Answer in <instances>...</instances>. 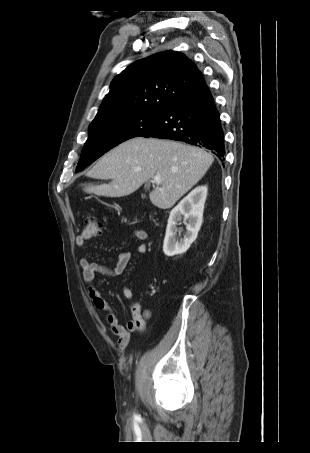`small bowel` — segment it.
<instances>
[{"instance_id":"small-bowel-1","label":"small bowel","mask_w":310,"mask_h":453,"mask_svg":"<svg viewBox=\"0 0 310 453\" xmlns=\"http://www.w3.org/2000/svg\"><path fill=\"white\" fill-rule=\"evenodd\" d=\"M133 234L136 239L142 241L137 247V253L145 254L148 250V246L145 243L148 238L147 232L143 229H135ZM89 239L90 238L84 237L81 233L76 237L75 243L78 247H85ZM130 257L131 255L128 252L119 253L113 268L103 266L88 258H82L80 260L82 279L88 287L89 298L95 308L107 313V323L110 326L111 332L118 337L117 344L121 351H124L128 346L131 332L141 331L145 328L147 315L143 312L139 303H134L131 306V319L127 321L125 326L121 325L117 316L112 312L108 302L101 296L95 287V276L96 274L110 277L121 275L127 267ZM122 294L127 300L133 299V292L128 286L122 288Z\"/></svg>"}]
</instances>
